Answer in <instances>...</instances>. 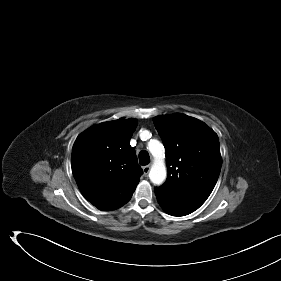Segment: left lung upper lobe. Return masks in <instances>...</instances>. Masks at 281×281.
Returning a JSON list of instances; mask_svg holds the SVG:
<instances>
[{
  "instance_id": "obj_1",
  "label": "left lung upper lobe",
  "mask_w": 281,
  "mask_h": 281,
  "mask_svg": "<svg viewBox=\"0 0 281 281\" xmlns=\"http://www.w3.org/2000/svg\"><path fill=\"white\" fill-rule=\"evenodd\" d=\"M154 125L166 149L168 177L158 190L184 192L205 202L222 165L217 134L202 121L175 113L157 116Z\"/></svg>"
}]
</instances>
